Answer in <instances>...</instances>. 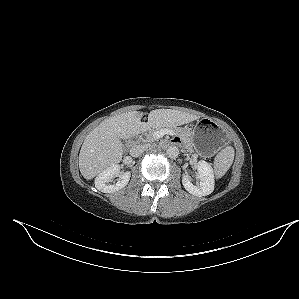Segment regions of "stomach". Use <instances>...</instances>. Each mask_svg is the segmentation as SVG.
<instances>
[{"mask_svg": "<svg viewBox=\"0 0 299 299\" xmlns=\"http://www.w3.org/2000/svg\"><path fill=\"white\" fill-rule=\"evenodd\" d=\"M193 148L201 155L210 157L228 141L225 130L216 122L207 118L200 119L190 130Z\"/></svg>", "mask_w": 299, "mask_h": 299, "instance_id": "stomach-1", "label": "stomach"}]
</instances>
